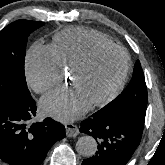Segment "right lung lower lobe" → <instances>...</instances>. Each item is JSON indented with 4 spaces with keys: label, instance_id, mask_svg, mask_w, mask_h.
<instances>
[{
    "label": "right lung lower lobe",
    "instance_id": "right-lung-lower-lobe-1",
    "mask_svg": "<svg viewBox=\"0 0 165 165\" xmlns=\"http://www.w3.org/2000/svg\"><path fill=\"white\" fill-rule=\"evenodd\" d=\"M36 104L30 94L0 86V159L10 165H40L65 127L51 118L34 122Z\"/></svg>",
    "mask_w": 165,
    "mask_h": 165
}]
</instances>
